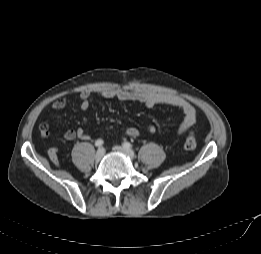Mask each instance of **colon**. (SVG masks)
<instances>
[{
  "mask_svg": "<svg viewBox=\"0 0 261 254\" xmlns=\"http://www.w3.org/2000/svg\"><path fill=\"white\" fill-rule=\"evenodd\" d=\"M196 139H195V136L193 133H190L187 137H186V140H185V143H184V147L186 150H194L196 148ZM57 164V162H56Z\"/></svg>",
  "mask_w": 261,
  "mask_h": 254,
  "instance_id": "obj_1",
  "label": "colon"
}]
</instances>
